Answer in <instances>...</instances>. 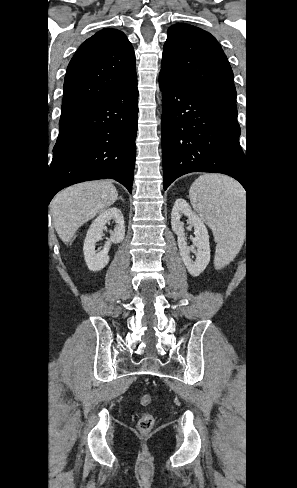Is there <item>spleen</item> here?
Here are the masks:
<instances>
[{
    "mask_svg": "<svg viewBox=\"0 0 297 488\" xmlns=\"http://www.w3.org/2000/svg\"><path fill=\"white\" fill-rule=\"evenodd\" d=\"M190 202L202 220L212 229L218 242L216 264L220 256L233 258L240 250L244 214V190L233 179L214 174L201 175L189 190Z\"/></svg>",
    "mask_w": 297,
    "mask_h": 488,
    "instance_id": "1",
    "label": "spleen"
}]
</instances>
